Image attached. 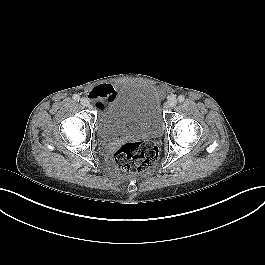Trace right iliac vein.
Here are the masks:
<instances>
[{
	"label": "right iliac vein",
	"instance_id": "obj_1",
	"mask_svg": "<svg viewBox=\"0 0 265 265\" xmlns=\"http://www.w3.org/2000/svg\"><path fill=\"white\" fill-rule=\"evenodd\" d=\"M80 103L83 106H86V107H88L90 105V101L87 98H85V97H83V98L80 99Z\"/></svg>",
	"mask_w": 265,
	"mask_h": 265
}]
</instances>
